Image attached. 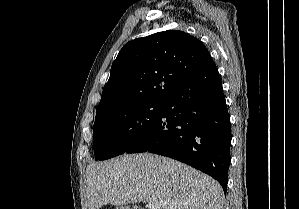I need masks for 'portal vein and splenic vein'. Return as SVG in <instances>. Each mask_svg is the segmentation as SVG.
<instances>
[{"mask_svg": "<svg viewBox=\"0 0 299 209\" xmlns=\"http://www.w3.org/2000/svg\"><path fill=\"white\" fill-rule=\"evenodd\" d=\"M148 207L149 209H159V206L156 202H149Z\"/></svg>", "mask_w": 299, "mask_h": 209, "instance_id": "1", "label": "portal vein and splenic vein"}]
</instances>
